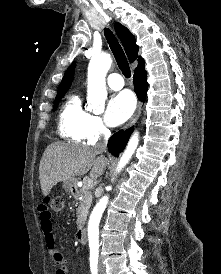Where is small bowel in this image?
<instances>
[{"instance_id":"obj_1","label":"small bowel","mask_w":221,"mask_h":274,"mask_svg":"<svg viewBox=\"0 0 221 274\" xmlns=\"http://www.w3.org/2000/svg\"><path fill=\"white\" fill-rule=\"evenodd\" d=\"M38 215L41 231L43 233L47 249L50 253L52 261L59 266L55 274H68V267L64 260V257L55 245L52 213L49 210L47 204L43 203L38 206Z\"/></svg>"}]
</instances>
